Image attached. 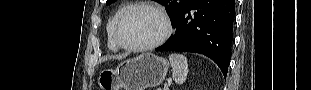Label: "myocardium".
<instances>
[{"mask_svg":"<svg viewBox=\"0 0 311 90\" xmlns=\"http://www.w3.org/2000/svg\"><path fill=\"white\" fill-rule=\"evenodd\" d=\"M138 9H148L151 10L155 13H157L159 15V17L162 19L163 25H164V29L163 32L161 34V36L146 45H140V46H133V45H128L126 43L123 42V40L120 37V27L122 25V23L124 22V20L134 11L138 10ZM172 33V23L171 20L168 16V14L166 13V11L155 4H151V3H138V4H134L132 6H130L128 9H126L117 19L116 23H115V27H114V38L116 43L118 44V46L124 50L130 51V52H146L149 50H152L154 48H157L158 46L162 45L171 35Z\"/></svg>","mask_w":311,"mask_h":90,"instance_id":"obj_1","label":"myocardium"}]
</instances>
